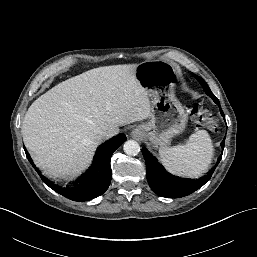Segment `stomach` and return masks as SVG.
I'll list each match as a JSON object with an SVG mask.
<instances>
[{"label": "stomach", "instance_id": "0dacf381", "mask_svg": "<svg viewBox=\"0 0 257 257\" xmlns=\"http://www.w3.org/2000/svg\"><path fill=\"white\" fill-rule=\"evenodd\" d=\"M135 77L152 99L149 120L137 126L135 132L154 148L168 147L185 130L188 121L174 92L178 67L163 59L143 61L136 65Z\"/></svg>", "mask_w": 257, "mask_h": 257}]
</instances>
